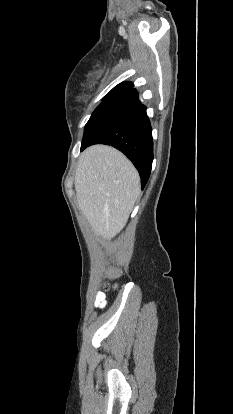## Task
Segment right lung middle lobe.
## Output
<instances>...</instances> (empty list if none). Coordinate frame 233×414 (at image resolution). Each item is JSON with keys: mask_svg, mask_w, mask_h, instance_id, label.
I'll return each mask as SVG.
<instances>
[{"mask_svg": "<svg viewBox=\"0 0 233 414\" xmlns=\"http://www.w3.org/2000/svg\"><path fill=\"white\" fill-rule=\"evenodd\" d=\"M133 86V84L129 83V82H123L118 84L116 87H114L105 97L103 100H106L110 97H113L115 95H118L128 89H130Z\"/></svg>", "mask_w": 233, "mask_h": 414, "instance_id": "right-lung-middle-lobe-1", "label": "right lung middle lobe"}]
</instances>
